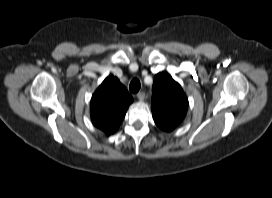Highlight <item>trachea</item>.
<instances>
[{"label": "trachea", "instance_id": "1", "mask_svg": "<svg viewBox=\"0 0 272 198\" xmlns=\"http://www.w3.org/2000/svg\"><path fill=\"white\" fill-rule=\"evenodd\" d=\"M140 87L141 84L137 78H134L129 85V89L132 93H137L140 90Z\"/></svg>", "mask_w": 272, "mask_h": 198}]
</instances>
